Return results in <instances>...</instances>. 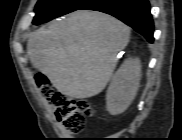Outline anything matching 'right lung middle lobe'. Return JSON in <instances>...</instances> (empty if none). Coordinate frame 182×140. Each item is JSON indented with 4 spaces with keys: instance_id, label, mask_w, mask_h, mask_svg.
<instances>
[{
    "instance_id": "obj_1",
    "label": "right lung middle lobe",
    "mask_w": 182,
    "mask_h": 140,
    "mask_svg": "<svg viewBox=\"0 0 182 140\" xmlns=\"http://www.w3.org/2000/svg\"><path fill=\"white\" fill-rule=\"evenodd\" d=\"M90 0H39L35 6L33 25L48 22L54 18L78 10Z\"/></svg>"
}]
</instances>
